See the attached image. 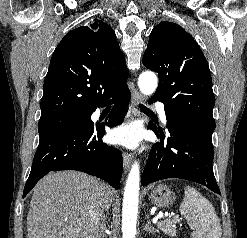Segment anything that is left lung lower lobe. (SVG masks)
<instances>
[{"label":"left lung lower lobe","instance_id":"left-lung-lower-lobe-1","mask_svg":"<svg viewBox=\"0 0 247 238\" xmlns=\"http://www.w3.org/2000/svg\"><path fill=\"white\" fill-rule=\"evenodd\" d=\"M155 101L151 98L149 102ZM149 127L160 138V142L150 151L141 178L142 185L179 178L197 182L220 194L212 168V133L180 118L167 119V136L161 128L153 124Z\"/></svg>","mask_w":247,"mask_h":238}]
</instances>
